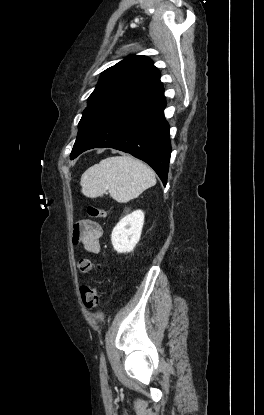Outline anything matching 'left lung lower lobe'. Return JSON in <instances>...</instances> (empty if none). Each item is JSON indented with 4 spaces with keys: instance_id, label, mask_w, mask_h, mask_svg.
<instances>
[{
    "instance_id": "0a47b994",
    "label": "left lung lower lobe",
    "mask_w": 264,
    "mask_h": 415,
    "mask_svg": "<svg viewBox=\"0 0 264 415\" xmlns=\"http://www.w3.org/2000/svg\"><path fill=\"white\" fill-rule=\"evenodd\" d=\"M161 82L120 101L96 122L74 158L92 148L111 147L149 164L167 183L171 143Z\"/></svg>"
}]
</instances>
